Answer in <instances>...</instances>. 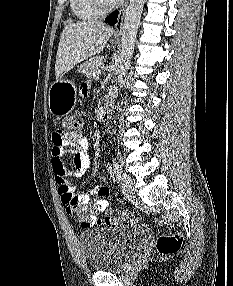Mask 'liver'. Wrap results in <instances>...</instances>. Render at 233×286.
Here are the masks:
<instances>
[{"label":"liver","instance_id":"6515ba94","mask_svg":"<svg viewBox=\"0 0 233 286\" xmlns=\"http://www.w3.org/2000/svg\"><path fill=\"white\" fill-rule=\"evenodd\" d=\"M113 32L112 27L100 21H81L66 25L56 56V79L68 68L100 53Z\"/></svg>","mask_w":233,"mask_h":286}]
</instances>
